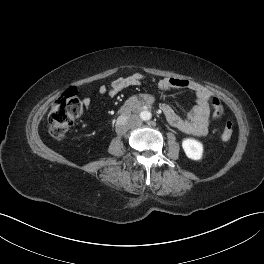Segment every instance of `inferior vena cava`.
Listing matches in <instances>:
<instances>
[{
  "label": "inferior vena cava",
  "mask_w": 264,
  "mask_h": 264,
  "mask_svg": "<svg viewBox=\"0 0 264 264\" xmlns=\"http://www.w3.org/2000/svg\"><path fill=\"white\" fill-rule=\"evenodd\" d=\"M118 121H119L121 124H124V123L127 121V118H126L124 115H121V116L118 118Z\"/></svg>",
  "instance_id": "inferior-vena-cava-1"
}]
</instances>
